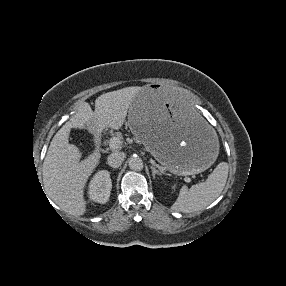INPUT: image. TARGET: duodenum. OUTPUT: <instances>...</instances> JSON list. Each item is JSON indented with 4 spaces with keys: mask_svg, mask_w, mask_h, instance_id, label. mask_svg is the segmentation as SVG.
Segmentation results:
<instances>
[{
    "mask_svg": "<svg viewBox=\"0 0 286 286\" xmlns=\"http://www.w3.org/2000/svg\"><path fill=\"white\" fill-rule=\"evenodd\" d=\"M95 146L96 147H100L101 146V138L99 136H97L95 138Z\"/></svg>",
    "mask_w": 286,
    "mask_h": 286,
    "instance_id": "obj_1",
    "label": "duodenum"
}]
</instances>
